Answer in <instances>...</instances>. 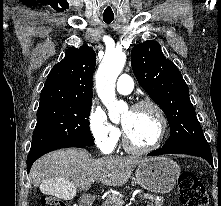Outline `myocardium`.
Segmentation results:
<instances>
[{"label": "myocardium", "mask_w": 221, "mask_h": 206, "mask_svg": "<svg viewBox=\"0 0 221 206\" xmlns=\"http://www.w3.org/2000/svg\"><path fill=\"white\" fill-rule=\"evenodd\" d=\"M143 107L151 108L156 113L158 117V121H159V130H158L156 139L150 145L145 146V147H136L131 143L124 129L123 146L126 151L133 153V154H137V155L147 154V153L154 151L156 148H158L160 144L162 143L166 134V130H167V120H166L165 114L162 108L155 101L150 100V99L140 100L136 102L135 104H133L130 110H137Z\"/></svg>", "instance_id": "1"}]
</instances>
